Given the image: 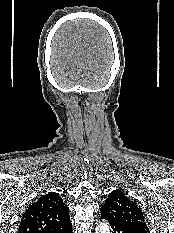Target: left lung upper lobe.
Listing matches in <instances>:
<instances>
[{"label":"left lung upper lobe","mask_w":174,"mask_h":233,"mask_svg":"<svg viewBox=\"0 0 174 233\" xmlns=\"http://www.w3.org/2000/svg\"><path fill=\"white\" fill-rule=\"evenodd\" d=\"M101 210L110 219L148 230L145 216L139 206L120 190H114L108 195Z\"/></svg>","instance_id":"left-lung-upper-lobe-1"}]
</instances>
